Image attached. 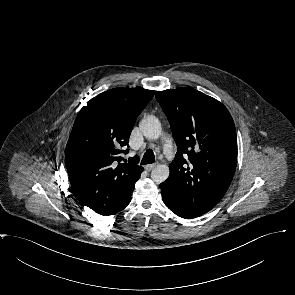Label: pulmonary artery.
I'll use <instances>...</instances> for the list:
<instances>
[{"label": "pulmonary artery", "instance_id": "1", "mask_svg": "<svg viewBox=\"0 0 295 295\" xmlns=\"http://www.w3.org/2000/svg\"><path fill=\"white\" fill-rule=\"evenodd\" d=\"M164 152L167 156H170L173 153V146L170 140H166L163 145Z\"/></svg>", "mask_w": 295, "mask_h": 295}]
</instances>
